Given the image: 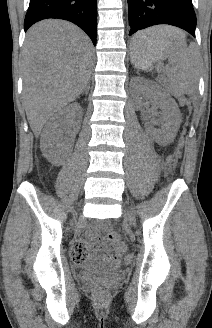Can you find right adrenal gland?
<instances>
[{
    "label": "right adrenal gland",
    "mask_w": 212,
    "mask_h": 328,
    "mask_svg": "<svg viewBox=\"0 0 212 328\" xmlns=\"http://www.w3.org/2000/svg\"><path fill=\"white\" fill-rule=\"evenodd\" d=\"M89 89H90V85H88V86L86 87V89L84 90V92H85L86 94H88Z\"/></svg>",
    "instance_id": "right-adrenal-gland-1"
}]
</instances>
